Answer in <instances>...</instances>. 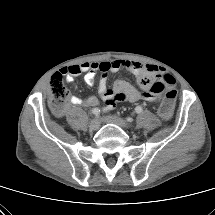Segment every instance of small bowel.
Wrapping results in <instances>:
<instances>
[{
    "label": "small bowel",
    "instance_id": "1",
    "mask_svg": "<svg viewBox=\"0 0 215 215\" xmlns=\"http://www.w3.org/2000/svg\"><path fill=\"white\" fill-rule=\"evenodd\" d=\"M122 68L127 69L136 76L140 90L124 80H118L112 88L107 85V75L109 72H116ZM64 75L68 82H73L74 78L84 73V81L87 85L95 84L97 73H100L98 79V94L105 102L103 110L105 112L114 108L116 102H137L139 100L156 103L161 93L152 90L156 82L162 81V76L167 74L160 67L154 64H145L134 60L115 59L106 62H84L77 65L64 67L59 72ZM69 103L76 106H95L98 99L94 96L81 99L72 95Z\"/></svg>",
    "mask_w": 215,
    "mask_h": 215
}]
</instances>
